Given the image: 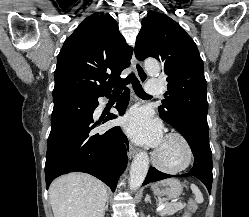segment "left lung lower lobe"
<instances>
[{
  "mask_svg": "<svg viewBox=\"0 0 249 217\" xmlns=\"http://www.w3.org/2000/svg\"><path fill=\"white\" fill-rule=\"evenodd\" d=\"M187 140L195 157L193 168L182 175H169L150 167L143 185L177 176H193L201 180L211 193L212 186V152L209 145V127L205 116H187L176 128Z\"/></svg>",
  "mask_w": 249,
  "mask_h": 217,
  "instance_id": "0a47b994",
  "label": "left lung lower lobe"
}]
</instances>
